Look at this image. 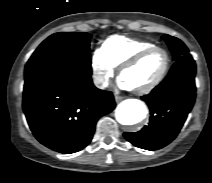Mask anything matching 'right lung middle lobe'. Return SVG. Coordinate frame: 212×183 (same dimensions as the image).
I'll return each instance as SVG.
<instances>
[{"label":"right lung middle lobe","instance_id":"obj_1","mask_svg":"<svg viewBox=\"0 0 212 183\" xmlns=\"http://www.w3.org/2000/svg\"><path fill=\"white\" fill-rule=\"evenodd\" d=\"M90 34L60 32L49 36L35 50L27 64L44 61H68L91 64Z\"/></svg>","mask_w":212,"mask_h":183}]
</instances>
